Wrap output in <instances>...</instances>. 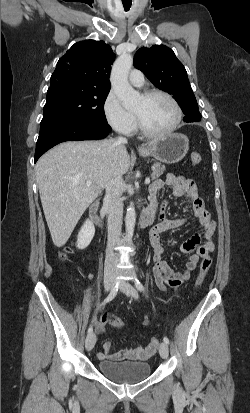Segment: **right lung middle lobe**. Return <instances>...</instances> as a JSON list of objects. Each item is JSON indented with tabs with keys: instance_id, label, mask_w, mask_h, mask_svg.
Listing matches in <instances>:
<instances>
[{
	"instance_id": "1",
	"label": "right lung middle lobe",
	"mask_w": 250,
	"mask_h": 413,
	"mask_svg": "<svg viewBox=\"0 0 250 413\" xmlns=\"http://www.w3.org/2000/svg\"><path fill=\"white\" fill-rule=\"evenodd\" d=\"M109 90L63 85L47 92L40 133L68 122L107 123L104 103Z\"/></svg>"
}]
</instances>
